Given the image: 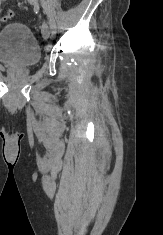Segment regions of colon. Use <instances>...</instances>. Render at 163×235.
<instances>
[{
  "mask_svg": "<svg viewBox=\"0 0 163 235\" xmlns=\"http://www.w3.org/2000/svg\"><path fill=\"white\" fill-rule=\"evenodd\" d=\"M13 17H14V12L9 10L2 16V20L8 21V20L12 19Z\"/></svg>",
  "mask_w": 163,
  "mask_h": 235,
  "instance_id": "5ec220e1",
  "label": "colon"
}]
</instances>
